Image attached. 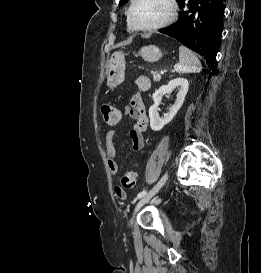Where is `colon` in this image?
I'll list each match as a JSON object with an SVG mask.
<instances>
[{
  "label": "colon",
  "mask_w": 261,
  "mask_h": 273,
  "mask_svg": "<svg viewBox=\"0 0 261 273\" xmlns=\"http://www.w3.org/2000/svg\"><path fill=\"white\" fill-rule=\"evenodd\" d=\"M101 112L104 117L105 122L110 125L114 126L118 124L120 120V111L118 108L110 105L104 104L101 107ZM137 182V172L136 171H127L125 172L120 179V186H117L118 192L121 193L127 189H132L135 187Z\"/></svg>",
  "instance_id": "5ec220e1"
}]
</instances>
